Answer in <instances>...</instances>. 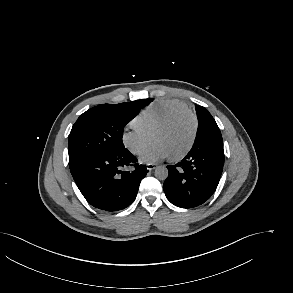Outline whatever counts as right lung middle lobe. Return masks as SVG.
<instances>
[{"instance_id":"1","label":"right lung middle lobe","mask_w":293,"mask_h":293,"mask_svg":"<svg viewBox=\"0 0 293 293\" xmlns=\"http://www.w3.org/2000/svg\"><path fill=\"white\" fill-rule=\"evenodd\" d=\"M152 100L102 104L80 115L68 136L70 169L94 156L125 148L122 142L125 125Z\"/></svg>"}]
</instances>
